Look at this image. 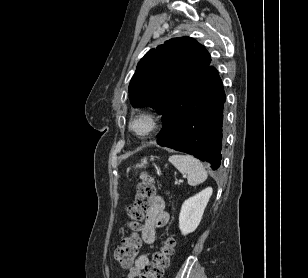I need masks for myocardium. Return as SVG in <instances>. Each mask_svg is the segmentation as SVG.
Returning a JSON list of instances; mask_svg holds the SVG:
<instances>
[{"label": "myocardium", "instance_id": "myocardium-1", "mask_svg": "<svg viewBox=\"0 0 308 278\" xmlns=\"http://www.w3.org/2000/svg\"><path fill=\"white\" fill-rule=\"evenodd\" d=\"M138 121H144L146 123V128L143 131H138L135 129L134 126ZM128 127L131 133L137 138L147 139L152 137L158 131L160 121L156 114L148 111H142L131 117Z\"/></svg>", "mask_w": 308, "mask_h": 278}]
</instances>
